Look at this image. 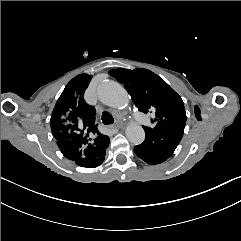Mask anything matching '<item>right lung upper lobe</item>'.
Wrapping results in <instances>:
<instances>
[{"label":"right lung upper lobe","instance_id":"cb5924a9","mask_svg":"<svg viewBox=\"0 0 241 241\" xmlns=\"http://www.w3.org/2000/svg\"><path fill=\"white\" fill-rule=\"evenodd\" d=\"M91 78V75L81 74L67 84L50 120L52 134L62 154L81 167L92 166L109 140L97 128L95 108L83 98Z\"/></svg>","mask_w":241,"mask_h":241}]
</instances>
